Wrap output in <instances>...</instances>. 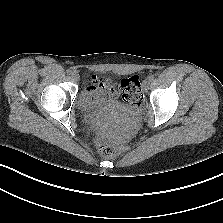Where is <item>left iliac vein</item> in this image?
I'll use <instances>...</instances> for the list:
<instances>
[{
	"label": "left iliac vein",
	"mask_w": 223,
	"mask_h": 223,
	"mask_svg": "<svg viewBox=\"0 0 223 223\" xmlns=\"http://www.w3.org/2000/svg\"><path fill=\"white\" fill-rule=\"evenodd\" d=\"M149 86H150V81L148 79H145L142 82V89L144 92H147L149 90Z\"/></svg>",
	"instance_id": "left-iliac-vein-1"
}]
</instances>
